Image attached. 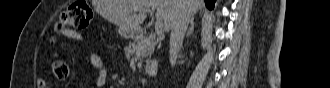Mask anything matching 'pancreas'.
I'll list each match as a JSON object with an SVG mask.
<instances>
[{"mask_svg":"<svg viewBox=\"0 0 330 88\" xmlns=\"http://www.w3.org/2000/svg\"><path fill=\"white\" fill-rule=\"evenodd\" d=\"M157 44L156 38L154 36H150L148 39L138 43L136 46L132 47V54H134V60H142L145 57L150 56Z\"/></svg>","mask_w":330,"mask_h":88,"instance_id":"obj_1","label":"pancreas"}]
</instances>
